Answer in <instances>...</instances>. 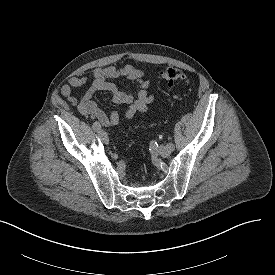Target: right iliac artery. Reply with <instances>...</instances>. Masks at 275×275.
Wrapping results in <instances>:
<instances>
[{"label":"right iliac artery","instance_id":"1","mask_svg":"<svg viewBox=\"0 0 275 275\" xmlns=\"http://www.w3.org/2000/svg\"><path fill=\"white\" fill-rule=\"evenodd\" d=\"M92 128H93L94 131H99L101 129V125H100L99 122L96 121V122L93 123Z\"/></svg>","mask_w":275,"mask_h":275}]
</instances>
